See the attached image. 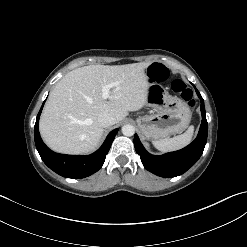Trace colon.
I'll return each mask as SVG.
<instances>
[{"label": "colon", "mask_w": 247, "mask_h": 247, "mask_svg": "<svg viewBox=\"0 0 247 247\" xmlns=\"http://www.w3.org/2000/svg\"><path fill=\"white\" fill-rule=\"evenodd\" d=\"M147 75L150 79L155 81L166 80L169 76L167 68L160 64H152L147 69ZM172 90L175 94L179 95L190 106H194V99L192 90L180 79H175L171 84Z\"/></svg>", "instance_id": "colon-1"}]
</instances>
